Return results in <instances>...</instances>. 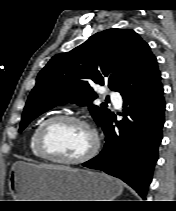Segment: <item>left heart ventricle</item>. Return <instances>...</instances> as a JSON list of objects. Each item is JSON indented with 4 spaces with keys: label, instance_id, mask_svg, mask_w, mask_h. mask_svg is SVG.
I'll return each instance as SVG.
<instances>
[{
    "label": "left heart ventricle",
    "instance_id": "obj_1",
    "mask_svg": "<svg viewBox=\"0 0 176 211\" xmlns=\"http://www.w3.org/2000/svg\"><path fill=\"white\" fill-rule=\"evenodd\" d=\"M47 147L64 158H77L85 154L92 145L91 133L83 126L69 121L51 125L45 132Z\"/></svg>",
    "mask_w": 176,
    "mask_h": 211
}]
</instances>
